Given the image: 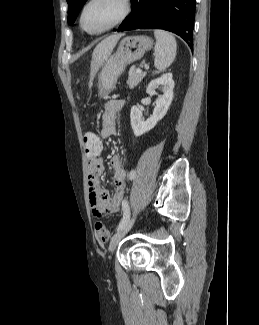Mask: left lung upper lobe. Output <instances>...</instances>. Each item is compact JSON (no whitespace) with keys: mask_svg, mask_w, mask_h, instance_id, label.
<instances>
[{"mask_svg":"<svg viewBox=\"0 0 259 325\" xmlns=\"http://www.w3.org/2000/svg\"><path fill=\"white\" fill-rule=\"evenodd\" d=\"M87 0H67L68 3V23L73 25L82 6Z\"/></svg>","mask_w":259,"mask_h":325,"instance_id":"1","label":"left lung upper lobe"}]
</instances>
